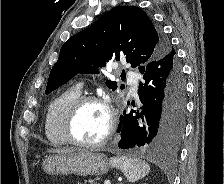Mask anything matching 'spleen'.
Masks as SVG:
<instances>
[{"mask_svg": "<svg viewBox=\"0 0 224 184\" xmlns=\"http://www.w3.org/2000/svg\"><path fill=\"white\" fill-rule=\"evenodd\" d=\"M110 164L120 169L130 182L138 181L145 177L150 171V165L145 161L133 157H111Z\"/></svg>", "mask_w": 224, "mask_h": 184, "instance_id": "1", "label": "spleen"}]
</instances>
